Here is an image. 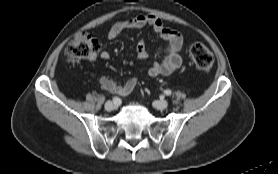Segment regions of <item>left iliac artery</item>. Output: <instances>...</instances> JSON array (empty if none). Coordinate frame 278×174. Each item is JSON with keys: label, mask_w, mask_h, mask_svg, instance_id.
Wrapping results in <instances>:
<instances>
[{"label": "left iliac artery", "mask_w": 278, "mask_h": 174, "mask_svg": "<svg viewBox=\"0 0 278 174\" xmlns=\"http://www.w3.org/2000/svg\"><path fill=\"white\" fill-rule=\"evenodd\" d=\"M164 94L167 95V96H170L172 94V91L167 89L164 91Z\"/></svg>", "instance_id": "obj_1"}]
</instances>
